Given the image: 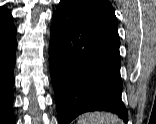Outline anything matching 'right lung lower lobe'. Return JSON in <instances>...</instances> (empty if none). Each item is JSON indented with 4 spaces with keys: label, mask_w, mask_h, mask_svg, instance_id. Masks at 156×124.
Wrapping results in <instances>:
<instances>
[{
    "label": "right lung lower lobe",
    "mask_w": 156,
    "mask_h": 124,
    "mask_svg": "<svg viewBox=\"0 0 156 124\" xmlns=\"http://www.w3.org/2000/svg\"><path fill=\"white\" fill-rule=\"evenodd\" d=\"M16 28L0 27V124H15L12 111Z\"/></svg>",
    "instance_id": "obj_1"
}]
</instances>
